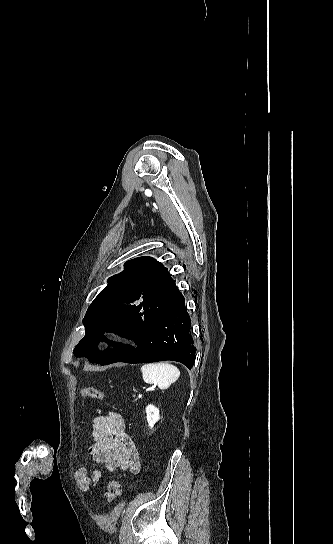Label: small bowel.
<instances>
[{"instance_id":"c3829d8e","label":"small bowel","mask_w":333,"mask_h":544,"mask_svg":"<svg viewBox=\"0 0 333 544\" xmlns=\"http://www.w3.org/2000/svg\"><path fill=\"white\" fill-rule=\"evenodd\" d=\"M92 441L87 451L95 467H81L74 478L81 490H90L106 472L140 469L139 453L127 434L122 416L116 412H101L91 421Z\"/></svg>"}]
</instances>
